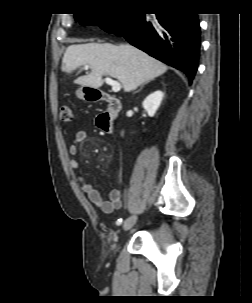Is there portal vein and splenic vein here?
Here are the masks:
<instances>
[{
  "label": "portal vein and splenic vein",
  "mask_w": 252,
  "mask_h": 303,
  "mask_svg": "<svg viewBox=\"0 0 252 303\" xmlns=\"http://www.w3.org/2000/svg\"><path fill=\"white\" fill-rule=\"evenodd\" d=\"M89 65H85V68L88 69ZM105 82L112 87V91L117 93L121 90V84L118 81L113 80L112 78L106 77Z\"/></svg>",
  "instance_id": "obj_1"
}]
</instances>
